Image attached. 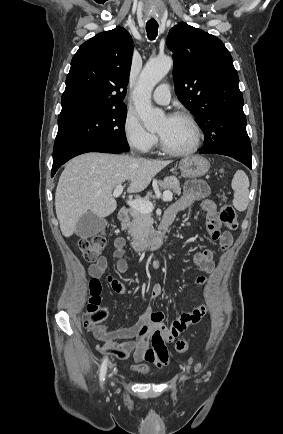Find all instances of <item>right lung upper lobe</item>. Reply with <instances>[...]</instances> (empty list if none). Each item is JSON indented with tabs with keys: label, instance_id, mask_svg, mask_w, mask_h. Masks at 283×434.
Returning a JSON list of instances; mask_svg holds the SVG:
<instances>
[{
	"label": "right lung upper lobe",
	"instance_id": "obj_1",
	"mask_svg": "<svg viewBox=\"0 0 283 434\" xmlns=\"http://www.w3.org/2000/svg\"><path fill=\"white\" fill-rule=\"evenodd\" d=\"M133 41L123 27L83 43L71 61L59 116L126 107Z\"/></svg>",
	"mask_w": 283,
	"mask_h": 434
}]
</instances>
